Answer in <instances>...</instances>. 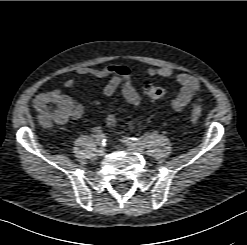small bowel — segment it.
I'll return each instance as SVG.
<instances>
[{"label": "small bowel", "instance_id": "1", "mask_svg": "<svg viewBox=\"0 0 247 245\" xmlns=\"http://www.w3.org/2000/svg\"><path fill=\"white\" fill-rule=\"evenodd\" d=\"M78 75H90L96 78H108V81L101 86V93L106 96H112L119 88L126 99L136 110L142 105V97L131 81V71L124 65L110 64L101 68L80 67L76 70ZM147 75L151 77L173 78L181 88L177 96L172 100V107L175 111L181 112L194 102H198L200 92L199 80L188 73H175L169 67H149L146 69ZM75 85V80L70 78L64 82L66 88H72ZM53 93L63 95L71 104V112L68 119H79L84 113V107L81 103L74 101L70 96L63 94L60 90H54ZM42 93L35 99L37 101L45 95ZM92 132L99 133V127H93Z\"/></svg>", "mask_w": 247, "mask_h": 245}]
</instances>
